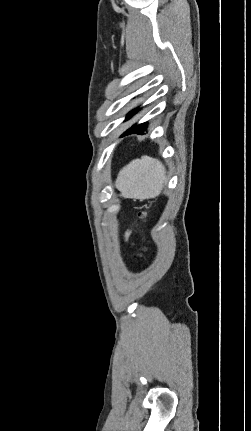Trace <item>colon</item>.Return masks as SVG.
Masks as SVG:
<instances>
[{"instance_id":"colon-1","label":"colon","mask_w":251,"mask_h":431,"mask_svg":"<svg viewBox=\"0 0 251 431\" xmlns=\"http://www.w3.org/2000/svg\"><path fill=\"white\" fill-rule=\"evenodd\" d=\"M140 216H141L142 218H147V213H146V212H144V211H142V212H140ZM149 251H150V248H149V247H145V248H144V250H143V252L140 254V257H141V258H144V257H145V255H146Z\"/></svg>"}]
</instances>
